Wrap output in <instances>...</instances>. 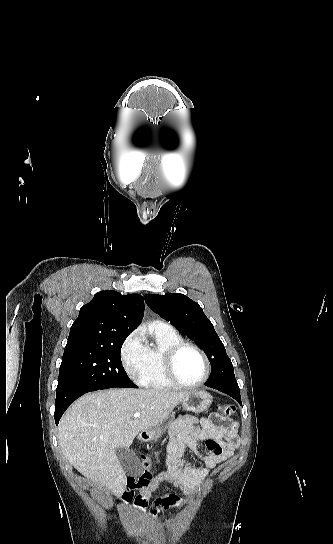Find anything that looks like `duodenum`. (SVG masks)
<instances>
[{"label":"duodenum","instance_id":"obj_1","mask_svg":"<svg viewBox=\"0 0 333 544\" xmlns=\"http://www.w3.org/2000/svg\"><path fill=\"white\" fill-rule=\"evenodd\" d=\"M147 438V435L145 433H142L140 436H139V441H144L145 439Z\"/></svg>","mask_w":333,"mask_h":544}]
</instances>
